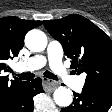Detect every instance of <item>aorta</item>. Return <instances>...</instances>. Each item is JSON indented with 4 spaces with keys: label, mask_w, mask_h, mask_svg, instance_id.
Segmentation results:
<instances>
[{
    "label": "aorta",
    "mask_w": 112,
    "mask_h": 112,
    "mask_svg": "<svg viewBox=\"0 0 112 112\" xmlns=\"http://www.w3.org/2000/svg\"><path fill=\"white\" fill-rule=\"evenodd\" d=\"M25 45L33 52H41L47 46V37L38 29L30 30L25 36ZM53 99L58 106L68 107L73 100L72 91L60 86L54 91Z\"/></svg>",
    "instance_id": "762f6f07"
}]
</instances>
